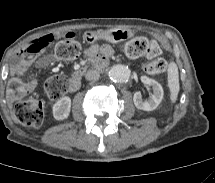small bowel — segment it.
<instances>
[{
    "label": "small bowel",
    "instance_id": "1",
    "mask_svg": "<svg viewBox=\"0 0 215 183\" xmlns=\"http://www.w3.org/2000/svg\"><path fill=\"white\" fill-rule=\"evenodd\" d=\"M72 32H66L69 34ZM62 33H50L46 34L38 39L31 41L20 53L18 60L12 67L13 77L10 78L8 82L7 95L9 100L14 101L25 94L33 91L36 87V82L34 80L23 81L19 76L23 75L29 68L34 66H48L56 62V58L51 54H46V49L39 52H32V47L41 41H47L52 44V42L61 37ZM100 52L108 53L109 48L107 46L99 47L93 45L86 50V54L89 57L94 58Z\"/></svg>",
    "mask_w": 215,
    "mask_h": 183
}]
</instances>
